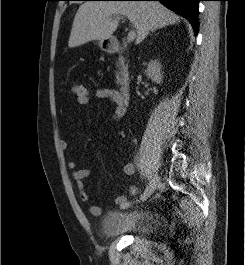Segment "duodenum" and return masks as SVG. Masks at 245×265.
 Masks as SVG:
<instances>
[{
    "mask_svg": "<svg viewBox=\"0 0 245 265\" xmlns=\"http://www.w3.org/2000/svg\"><path fill=\"white\" fill-rule=\"evenodd\" d=\"M107 49L109 53H120L122 48L118 41H111L107 44ZM119 92L125 103L129 102L131 89L130 84L127 79H123L119 86Z\"/></svg>",
    "mask_w": 245,
    "mask_h": 265,
    "instance_id": "obj_1",
    "label": "duodenum"
}]
</instances>
